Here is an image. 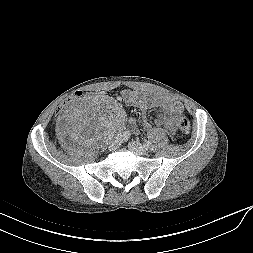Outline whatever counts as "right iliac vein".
<instances>
[{
  "instance_id": "obj_1",
  "label": "right iliac vein",
  "mask_w": 253,
  "mask_h": 253,
  "mask_svg": "<svg viewBox=\"0 0 253 253\" xmlns=\"http://www.w3.org/2000/svg\"><path fill=\"white\" fill-rule=\"evenodd\" d=\"M121 144V137H117L114 141H112L110 144H109V150L110 151H113V150H116L119 145Z\"/></svg>"
}]
</instances>
